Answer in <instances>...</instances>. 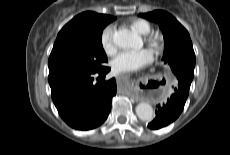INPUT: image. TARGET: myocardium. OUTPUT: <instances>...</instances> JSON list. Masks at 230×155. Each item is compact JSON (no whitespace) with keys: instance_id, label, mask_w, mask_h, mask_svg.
Returning <instances> with one entry per match:
<instances>
[{"instance_id":"f54148a6","label":"myocardium","mask_w":230,"mask_h":155,"mask_svg":"<svg viewBox=\"0 0 230 155\" xmlns=\"http://www.w3.org/2000/svg\"><path fill=\"white\" fill-rule=\"evenodd\" d=\"M145 39L146 42L153 50L159 51L162 48L163 37L159 33L156 32L148 33Z\"/></svg>"}]
</instances>
